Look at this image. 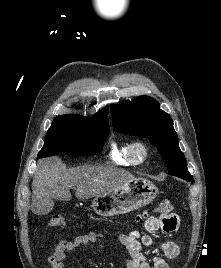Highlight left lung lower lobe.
Listing matches in <instances>:
<instances>
[{"mask_svg":"<svg viewBox=\"0 0 221 268\" xmlns=\"http://www.w3.org/2000/svg\"><path fill=\"white\" fill-rule=\"evenodd\" d=\"M189 181H190V182H193L194 180H193V178H191V179H189Z\"/></svg>","mask_w":221,"mask_h":268,"instance_id":"0a47b994","label":"left lung lower lobe"}]
</instances>
